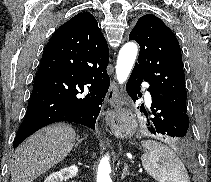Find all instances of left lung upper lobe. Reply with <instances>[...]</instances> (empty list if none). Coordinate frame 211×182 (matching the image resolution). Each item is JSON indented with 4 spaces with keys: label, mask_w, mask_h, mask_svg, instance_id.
<instances>
[{
    "label": "left lung upper lobe",
    "mask_w": 211,
    "mask_h": 182,
    "mask_svg": "<svg viewBox=\"0 0 211 182\" xmlns=\"http://www.w3.org/2000/svg\"><path fill=\"white\" fill-rule=\"evenodd\" d=\"M129 40L137 41L140 46L138 63L134 69L159 94L186 113L187 92L182 55L174 33L161 19L147 14L139 18Z\"/></svg>",
    "instance_id": "obj_1"
}]
</instances>
